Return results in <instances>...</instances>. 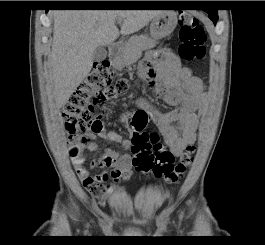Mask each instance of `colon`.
I'll list each match as a JSON object with an SVG mask.
<instances>
[{
    "label": "colon",
    "instance_id": "colon-1",
    "mask_svg": "<svg viewBox=\"0 0 265 245\" xmlns=\"http://www.w3.org/2000/svg\"><path fill=\"white\" fill-rule=\"evenodd\" d=\"M179 56L184 61L202 60L205 57L206 34L199 20L186 12L179 14ZM141 76L146 80L155 78V72L141 66ZM128 89L126 80L113 81L110 62L105 59L95 62L84 81L73 92L62 109L67 139L80 142L92 130L102 129L101 120L94 115L96 107L110 103ZM149 117L143 110L134 113L132 127V165L137 172L164 178L169 184L178 183L192 165L195 146L189 145L176 161L175 155L160 141L156 133L146 131ZM83 153L81 144L69 150L70 157L77 161Z\"/></svg>",
    "mask_w": 265,
    "mask_h": 245
}]
</instances>
